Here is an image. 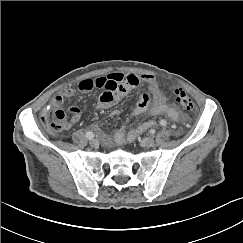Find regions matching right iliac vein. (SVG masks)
<instances>
[{"instance_id": "right-iliac-vein-1", "label": "right iliac vein", "mask_w": 243, "mask_h": 243, "mask_svg": "<svg viewBox=\"0 0 243 243\" xmlns=\"http://www.w3.org/2000/svg\"><path fill=\"white\" fill-rule=\"evenodd\" d=\"M90 144L92 145V146H97L98 145V140L96 139V138H92V139H90Z\"/></svg>"}]
</instances>
